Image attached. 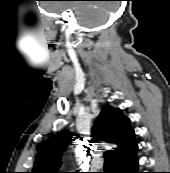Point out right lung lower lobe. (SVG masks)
<instances>
[{"label":"right lung lower lobe","instance_id":"1","mask_svg":"<svg viewBox=\"0 0 170 173\" xmlns=\"http://www.w3.org/2000/svg\"><path fill=\"white\" fill-rule=\"evenodd\" d=\"M137 143L126 151L117 154L114 159L113 173H140L138 172Z\"/></svg>","mask_w":170,"mask_h":173}]
</instances>
